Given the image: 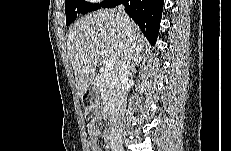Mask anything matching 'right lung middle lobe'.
<instances>
[{"instance_id": "1", "label": "right lung middle lobe", "mask_w": 231, "mask_h": 151, "mask_svg": "<svg viewBox=\"0 0 231 151\" xmlns=\"http://www.w3.org/2000/svg\"><path fill=\"white\" fill-rule=\"evenodd\" d=\"M105 2L106 0L100 4H91L89 2H86L85 0H66V25L69 26L79 14H85L101 8Z\"/></svg>"}]
</instances>
